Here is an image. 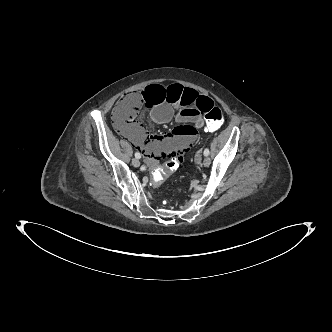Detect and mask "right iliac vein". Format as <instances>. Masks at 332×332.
I'll return each instance as SVG.
<instances>
[{
    "mask_svg": "<svg viewBox=\"0 0 332 332\" xmlns=\"http://www.w3.org/2000/svg\"><path fill=\"white\" fill-rule=\"evenodd\" d=\"M132 165L134 167H139L140 166V161L137 158L132 159Z\"/></svg>",
    "mask_w": 332,
    "mask_h": 332,
    "instance_id": "63e3f726",
    "label": "right iliac vein"
}]
</instances>
